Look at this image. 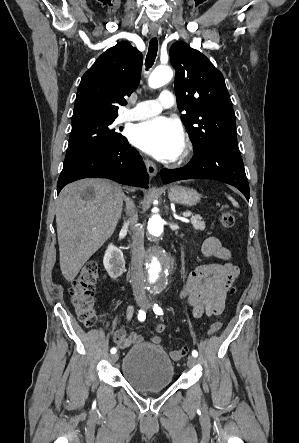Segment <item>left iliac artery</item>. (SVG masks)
Returning <instances> with one entry per match:
<instances>
[{"label":"left iliac artery","instance_id":"44dca946","mask_svg":"<svg viewBox=\"0 0 299 443\" xmlns=\"http://www.w3.org/2000/svg\"><path fill=\"white\" fill-rule=\"evenodd\" d=\"M153 311H154L155 314H157V315H163V310L161 309V307L158 306V304H154V305H153ZM192 355H193L194 357H197V356H198V352H197L196 350H193V351H192Z\"/></svg>","mask_w":299,"mask_h":443}]
</instances>
